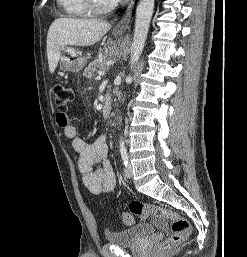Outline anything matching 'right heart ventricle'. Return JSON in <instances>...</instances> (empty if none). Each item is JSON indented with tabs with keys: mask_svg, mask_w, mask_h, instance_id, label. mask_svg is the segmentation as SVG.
I'll use <instances>...</instances> for the list:
<instances>
[{
	"mask_svg": "<svg viewBox=\"0 0 247 257\" xmlns=\"http://www.w3.org/2000/svg\"><path fill=\"white\" fill-rule=\"evenodd\" d=\"M57 2L69 17L81 18L90 14L84 0H57Z\"/></svg>",
	"mask_w": 247,
	"mask_h": 257,
	"instance_id": "right-heart-ventricle-1",
	"label": "right heart ventricle"
}]
</instances>
